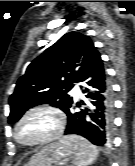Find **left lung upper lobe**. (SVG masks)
<instances>
[{"mask_svg":"<svg viewBox=\"0 0 135 166\" xmlns=\"http://www.w3.org/2000/svg\"><path fill=\"white\" fill-rule=\"evenodd\" d=\"M98 54L89 36L69 32L28 66L10 96L9 123L17 122L29 108L49 103L66 112L73 104L68 92L79 82Z\"/></svg>","mask_w":135,"mask_h":166,"instance_id":"1","label":"left lung upper lobe"}]
</instances>
